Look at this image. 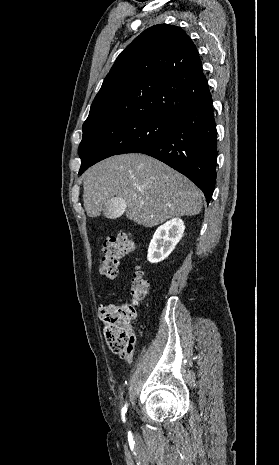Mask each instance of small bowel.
Here are the masks:
<instances>
[{"instance_id": "obj_1", "label": "small bowel", "mask_w": 279, "mask_h": 465, "mask_svg": "<svg viewBox=\"0 0 279 465\" xmlns=\"http://www.w3.org/2000/svg\"><path fill=\"white\" fill-rule=\"evenodd\" d=\"M123 359L126 363H130L131 360H132V354H126V355H123Z\"/></svg>"}]
</instances>
